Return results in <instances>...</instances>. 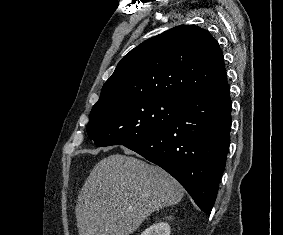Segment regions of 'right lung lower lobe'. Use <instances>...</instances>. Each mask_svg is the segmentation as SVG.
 <instances>
[{"label":"right lung lower lobe","mask_w":283,"mask_h":235,"mask_svg":"<svg viewBox=\"0 0 283 235\" xmlns=\"http://www.w3.org/2000/svg\"><path fill=\"white\" fill-rule=\"evenodd\" d=\"M228 82L180 100L161 129L125 144L171 174L210 215L230 145Z\"/></svg>","instance_id":"right-lung-lower-lobe-1"}]
</instances>
